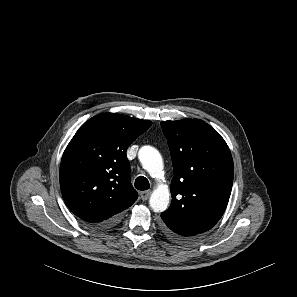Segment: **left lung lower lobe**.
<instances>
[{
  "label": "left lung lower lobe",
  "instance_id": "obj_1",
  "mask_svg": "<svg viewBox=\"0 0 297 297\" xmlns=\"http://www.w3.org/2000/svg\"><path fill=\"white\" fill-rule=\"evenodd\" d=\"M162 230L165 232L166 235H168L170 238L174 240H182L178 235H176L169 227H167L165 224H162Z\"/></svg>",
  "mask_w": 297,
  "mask_h": 297
}]
</instances>
